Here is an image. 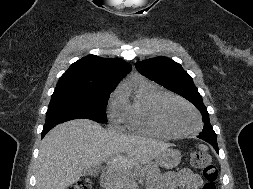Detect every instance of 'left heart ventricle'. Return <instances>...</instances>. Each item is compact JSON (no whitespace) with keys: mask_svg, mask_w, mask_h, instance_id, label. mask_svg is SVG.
<instances>
[{"mask_svg":"<svg viewBox=\"0 0 253 189\" xmlns=\"http://www.w3.org/2000/svg\"><path fill=\"white\" fill-rule=\"evenodd\" d=\"M164 120L177 131L192 130L197 126L194 113L183 104L167 101L162 107Z\"/></svg>","mask_w":253,"mask_h":189,"instance_id":"1","label":"left heart ventricle"}]
</instances>
